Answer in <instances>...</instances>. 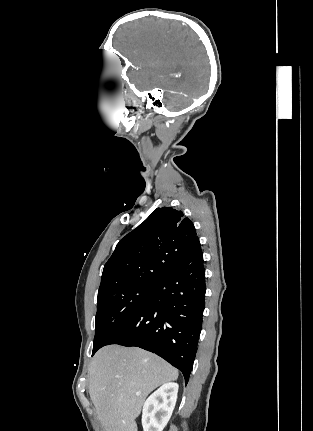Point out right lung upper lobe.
I'll return each instance as SVG.
<instances>
[{"instance_id": "right-lung-upper-lobe-1", "label": "right lung upper lobe", "mask_w": 313, "mask_h": 431, "mask_svg": "<svg viewBox=\"0 0 313 431\" xmlns=\"http://www.w3.org/2000/svg\"><path fill=\"white\" fill-rule=\"evenodd\" d=\"M197 240L193 223L182 211L155 209L117 244L104 266L98 298L126 288L157 286Z\"/></svg>"}]
</instances>
